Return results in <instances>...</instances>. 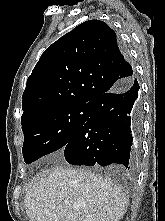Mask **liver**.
<instances>
[{"instance_id": "1", "label": "liver", "mask_w": 165, "mask_h": 221, "mask_svg": "<svg viewBox=\"0 0 165 221\" xmlns=\"http://www.w3.org/2000/svg\"><path fill=\"white\" fill-rule=\"evenodd\" d=\"M128 204L110 179L63 166L40 172L24 199L30 221H119Z\"/></svg>"}]
</instances>
